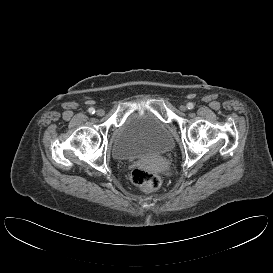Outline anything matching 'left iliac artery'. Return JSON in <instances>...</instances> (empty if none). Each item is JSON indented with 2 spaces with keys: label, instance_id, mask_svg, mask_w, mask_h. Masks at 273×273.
I'll use <instances>...</instances> for the list:
<instances>
[{
  "label": "left iliac artery",
  "instance_id": "1",
  "mask_svg": "<svg viewBox=\"0 0 273 273\" xmlns=\"http://www.w3.org/2000/svg\"><path fill=\"white\" fill-rule=\"evenodd\" d=\"M187 108H188V109H193V108H194V104L191 103V102H189V103L187 104Z\"/></svg>",
  "mask_w": 273,
  "mask_h": 273
}]
</instances>
